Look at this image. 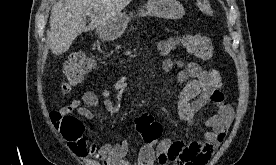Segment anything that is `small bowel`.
Returning a JSON list of instances; mask_svg holds the SVG:
<instances>
[{
    "label": "small bowel",
    "instance_id": "small-bowel-1",
    "mask_svg": "<svg viewBox=\"0 0 276 165\" xmlns=\"http://www.w3.org/2000/svg\"><path fill=\"white\" fill-rule=\"evenodd\" d=\"M179 69L177 83L183 84L178 97L177 111L180 119L190 126H195V114L207 105L216 109V114L206 121L209 131L203 141L186 142L183 140H163L156 147L145 144L140 148L134 162L126 160L129 153V142L122 140L116 144L104 143L98 146L88 143L86 135L82 134L80 142L70 145L75 154L81 157L90 156L99 165H206L212 158L220 144L226 137L233 121L234 112L226 103L222 92L220 74L214 69H207L195 62H185L180 58L168 57L162 62V69L169 72ZM128 88V79L121 77L116 80L112 89L105 88L100 95L104 99V106L109 113H115L117 104L111 99L113 91L121 97ZM99 96L93 90L83 93L82 101L75 99L63 106L58 112L63 116L77 114L91 120V108L98 104ZM82 102L85 106H82ZM75 117V116H74Z\"/></svg>",
    "mask_w": 276,
    "mask_h": 165
}]
</instances>
